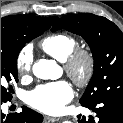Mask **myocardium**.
Listing matches in <instances>:
<instances>
[{
  "label": "myocardium",
  "instance_id": "1",
  "mask_svg": "<svg viewBox=\"0 0 123 123\" xmlns=\"http://www.w3.org/2000/svg\"><path fill=\"white\" fill-rule=\"evenodd\" d=\"M66 74L79 86H86L94 76L96 59L88 48H75L63 62Z\"/></svg>",
  "mask_w": 123,
  "mask_h": 123
}]
</instances>
